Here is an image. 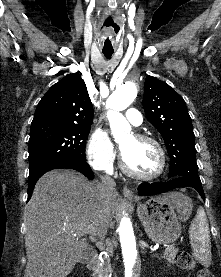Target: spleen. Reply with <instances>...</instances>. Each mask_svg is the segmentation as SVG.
Returning a JSON list of instances; mask_svg holds the SVG:
<instances>
[{
	"mask_svg": "<svg viewBox=\"0 0 221 277\" xmlns=\"http://www.w3.org/2000/svg\"><path fill=\"white\" fill-rule=\"evenodd\" d=\"M189 236L194 257L202 265L209 266L211 263V242L209 225L203 209H199L193 219Z\"/></svg>",
	"mask_w": 221,
	"mask_h": 277,
	"instance_id": "obj_1",
	"label": "spleen"
}]
</instances>
